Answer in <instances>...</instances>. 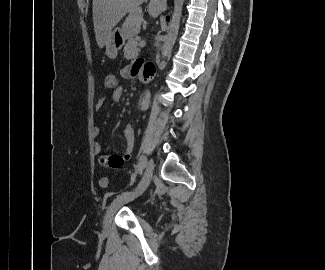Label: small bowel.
I'll list each match as a JSON object with an SVG mask.
<instances>
[{"label": "small bowel", "instance_id": "obj_1", "mask_svg": "<svg viewBox=\"0 0 325 270\" xmlns=\"http://www.w3.org/2000/svg\"><path fill=\"white\" fill-rule=\"evenodd\" d=\"M156 68L155 65L150 61H145L143 59H138L133 66H126L121 71V75L125 79H131L137 77L141 74L145 79H150L155 75ZM123 87L118 82V89L113 90L110 96H105L98 100L95 105L96 110L102 109L104 106H112L114 103L118 102L122 96ZM93 136L97 137L100 133V129L97 126L93 127ZM123 136L125 139V150L123 155L102 154V146L99 142L94 143L93 151L94 155L98 158L101 165L111 168H119L123 165L125 160H128L134 148L135 133L134 128L131 125H126L123 130Z\"/></svg>", "mask_w": 325, "mask_h": 270}]
</instances>
